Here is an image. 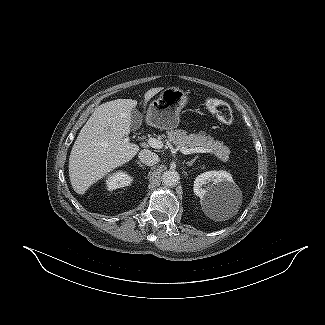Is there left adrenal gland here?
<instances>
[{
	"label": "left adrenal gland",
	"instance_id": "left-adrenal-gland-1",
	"mask_svg": "<svg viewBox=\"0 0 325 325\" xmlns=\"http://www.w3.org/2000/svg\"><path fill=\"white\" fill-rule=\"evenodd\" d=\"M197 158H198V156H196L194 159H192L190 162H187L186 164H187L188 166H192L193 163L197 160Z\"/></svg>",
	"mask_w": 325,
	"mask_h": 325
}]
</instances>
